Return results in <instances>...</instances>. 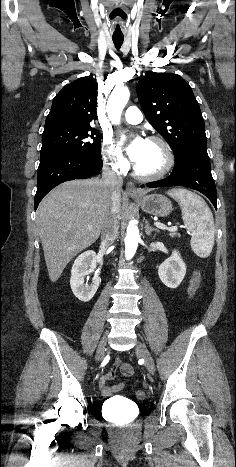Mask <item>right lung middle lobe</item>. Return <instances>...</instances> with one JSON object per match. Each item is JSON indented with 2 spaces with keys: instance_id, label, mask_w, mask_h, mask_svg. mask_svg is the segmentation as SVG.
Instances as JSON below:
<instances>
[{
  "instance_id": "dd1d6c3e",
  "label": "right lung middle lobe",
  "mask_w": 236,
  "mask_h": 467,
  "mask_svg": "<svg viewBox=\"0 0 236 467\" xmlns=\"http://www.w3.org/2000/svg\"><path fill=\"white\" fill-rule=\"evenodd\" d=\"M57 151H71L100 159V135L91 126L58 125L44 128L40 157Z\"/></svg>"
}]
</instances>
